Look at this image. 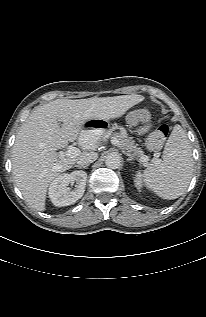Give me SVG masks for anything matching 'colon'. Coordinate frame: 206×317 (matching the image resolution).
Wrapping results in <instances>:
<instances>
[{
    "label": "colon",
    "instance_id": "1",
    "mask_svg": "<svg viewBox=\"0 0 206 317\" xmlns=\"http://www.w3.org/2000/svg\"><path fill=\"white\" fill-rule=\"evenodd\" d=\"M127 122L131 126L144 125L151 123V114L148 110L140 108L130 112L127 116ZM169 127L166 124L158 126L149 136L147 144L151 149L159 148L166 139Z\"/></svg>",
    "mask_w": 206,
    "mask_h": 317
}]
</instances>
